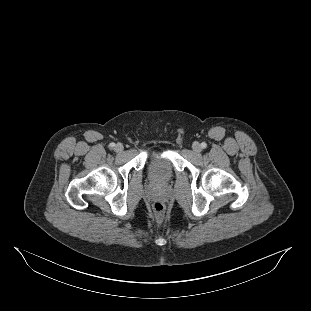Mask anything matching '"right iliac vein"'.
<instances>
[{"mask_svg": "<svg viewBox=\"0 0 311 311\" xmlns=\"http://www.w3.org/2000/svg\"><path fill=\"white\" fill-rule=\"evenodd\" d=\"M114 149L116 152H122L124 147L121 143H117Z\"/></svg>", "mask_w": 311, "mask_h": 311, "instance_id": "63e3f726", "label": "right iliac vein"}]
</instances>
